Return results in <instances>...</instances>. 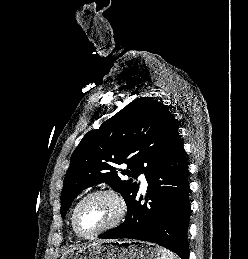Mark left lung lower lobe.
<instances>
[{
	"instance_id": "left-lung-lower-lobe-1",
	"label": "left lung lower lobe",
	"mask_w": 248,
	"mask_h": 259,
	"mask_svg": "<svg viewBox=\"0 0 248 259\" xmlns=\"http://www.w3.org/2000/svg\"><path fill=\"white\" fill-rule=\"evenodd\" d=\"M188 174V162L181 143L147 176L146 200L150 199L152 203L141 204L142 196L138 194L128 206L125 221L99 238L149 241L173 251L182 259H189Z\"/></svg>"
}]
</instances>
